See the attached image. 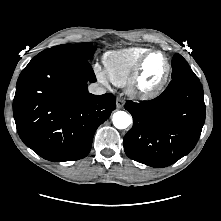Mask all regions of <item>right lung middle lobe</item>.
<instances>
[{
	"label": "right lung middle lobe",
	"mask_w": 221,
	"mask_h": 221,
	"mask_svg": "<svg viewBox=\"0 0 221 221\" xmlns=\"http://www.w3.org/2000/svg\"><path fill=\"white\" fill-rule=\"evenodd\" d=\"M96 47L91 42L58 45L40 52L34 59L41 57L68 58L88 61L92 58Z\"/></svg>",
	"instance_id": "1"
}]
</instances>
